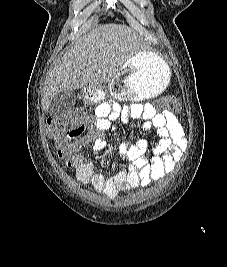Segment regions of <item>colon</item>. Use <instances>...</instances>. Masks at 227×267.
Wrapping results in <instances>:
<instances>
[{"instance_id":"5ec220e1","label":"colon","mask_w":227,"mask_h":267,"mask_svg":"<svg viewBox=\"0 0 227 267\" xmlns=\"http://www.w3.org/2000/svg\"><path fill=\"white\" fill-rule=\"evenodd\" d=\"M161 103L174 113L180 110V104L175 97H166ZM84 118L85 112L82 108H75L61 117H49L44 125V132L51 139L61 138L71 126L82 123Z\"/></svg>"}]
</instances>
